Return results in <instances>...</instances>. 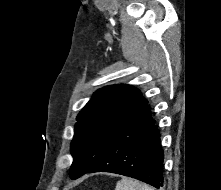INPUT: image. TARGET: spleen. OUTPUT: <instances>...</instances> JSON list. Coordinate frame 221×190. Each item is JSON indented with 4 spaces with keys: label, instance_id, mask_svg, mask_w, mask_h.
<instances>
[{
    "label": "spleen",
    "instance_id": "3e777b00",
    "mask_svg": "<svg viewBox=\"0 0 221 190\" xmlns=\"http://www.w3.org/2000/svg\"><path fill=\"white\" fill-rule=\"evenodd\" d=\"M115 190H154L144 183H140L133 179H122L116 185Z\"/></svg>",
    "mask_w": 221,
    "mask_h": 190
}]
</instances>
